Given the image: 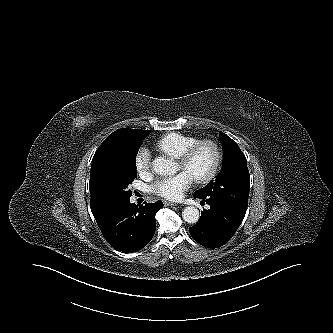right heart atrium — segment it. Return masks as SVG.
Returning a JSON list of instances; mask_svg holds the SVG:
<instances>
[{"label":"right heart atrium","mask_w":333,"mask_h":333,"mask_svg":"<svg viewBox=\"0 0 333 333\" xmlns=\"http://www.w3.org/2000/svg\"><path fill=\"white\" fill-rule=\"evenodd\" d=\"M152 156L148 149L140 148L134 158L135 169L140 175H147L151 168Z\"/></svg>","instance_id":"obj_1"}]
</instances>
